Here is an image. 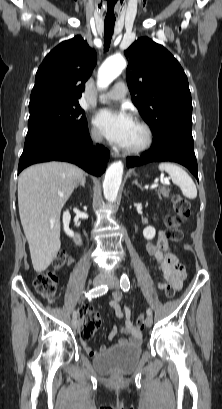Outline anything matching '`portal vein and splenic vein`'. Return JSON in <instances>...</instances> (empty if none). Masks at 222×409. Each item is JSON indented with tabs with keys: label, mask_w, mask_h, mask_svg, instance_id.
Masks as SVG:
<instances>
[{
	"label": "portal vein and splenic vein",
	"mask_w": 222,
	"mask_h": 409,
	"mask_svg": "<svg viewBox=\"0 0 222 409\" xmlns=\"http://www.w3.org/2000/svg\"><path fill=\"white\" fill-rule=\"evenodd\" d=\"M163 184H169V179H163L162 181H161ZM158 186V184L157 183H155V184H153L152 186H151V189H153V188H156Z\"/></svg>",
	"instance_id": "obj_1"
}]
</instances>
